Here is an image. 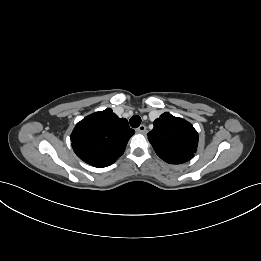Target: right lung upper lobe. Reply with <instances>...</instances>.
Masks as SVG:
<instances>
[{
	"instance_id": "right-lung-upper-lobe-1",
	"label": "right lung upper lobe",
	"mask_w": 261,
	"mask_h": 261,
	"mask_svg": "<svg viewBox=\"0 0 261 261\" xmlns=\"http://www.w3.org/2000/svg\"><path fill=\"white\" fill-rule=\"evenodd\" d=\"M134 133L125 118H119L107 108L81 120L70 138L73 150L81 160L102 168L110 166L123 154Z\"/></svg>"
}]
</instances>
